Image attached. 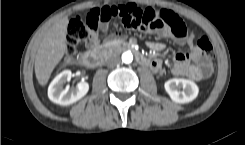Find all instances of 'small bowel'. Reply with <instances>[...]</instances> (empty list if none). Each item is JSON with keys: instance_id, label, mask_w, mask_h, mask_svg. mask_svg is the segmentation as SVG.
Segmentation results:
<instances>
[{"instance_id": "obj_1", "label": "small bowel", "mask_w": 245, "mask_h": 145, "mask_svg": "<svg viewBox=\"0 0 245 145\" xmlns=\"http://www.w3.org/2000/svg\"><path fill=\"white\" fill-rule=\"evenodd\" d=\"M174 18L181 22V19H179L178 17L174 16ZM101 27L105 31L109 30V28H110L108 23H103ZM154 34L160 38H166L169 35V30L166 28H160V29L156 30L154 32ZM151 47L154 49H157V48H159V45L158 44H152ZM190 57H191L192 61L194 62V65L192 66V69H191L192 74H194V75L200 74L202 67L206 63V59L204 57L200 56V54L197 52H193ZM180 61H181V59L177 58V62H180ZM176 72L179 73L180 70H176Z\"/></svg>"}]
</instances>
